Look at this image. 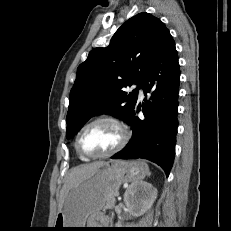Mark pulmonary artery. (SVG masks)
Segmentation results:
<instances>
[{
    "label": "pulmonary artery",
    "mask_w": 231,
    "mask_h": 231,
    "mask_svg": "<svg viewBox=\"0 0 231 231\" xmlns=\"http://www.w3.org/2000/svg\"><path fill=\"white\" fill-rule=\"evenodd\" d=\"M139 96L140 98L144 97V90L142 88H139Z\"/></svg>",
    "instance_id": "pulmonary-artery-1"
}]
</instances>
